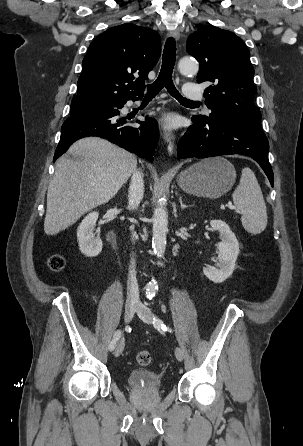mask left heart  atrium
<instances>
[{
  "label": "left heart atrium",
  "instance_id": "left-heart-atrium-1",
  "mask_svg": "<svg viewBox=\"0 0 303 446\" xmlns=\"http://www.w3.org/2000/svg\"><path fill=\"white\" fill-rule=\"evenodd\" d=\"M165 122L169 125H174L175 124V118L172 116H169L165 119Z\"/></svg>",
  "mask_w": 303,
  "mask_h": 446
}]
</instances>
